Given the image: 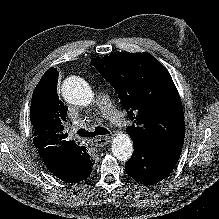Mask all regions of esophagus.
Segmentation results:
<instances>
[{
	"label": "esophagus",
	"instance_id": "esophagus-1",
	"mask_svg": "<svg viewBox=\"0 0 219 219\" xmlns=\"http://www.w3.org/2000/svg\"><path fill=\"white\" fill-rule=\"evenodd\" d=\"M111 140L110 136H103V137H98L95 139V145L97 147H103L105 145H107Z\"/></svg>",
	"mask_w": 219,
	"mask_h": 219
}]
</instances>
